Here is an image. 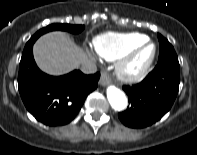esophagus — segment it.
Here are the masks:
<instances>
[{
	"mask_svg": "<svg viewBox=\"0 0 197 155\" xmlns=\"http://www.w3.org/2000/svg\"><path fill=\"white\" fill-rule=\"evenodd\" d=\"M111 83V77L108 73L102 72L100 77V84L102 86H107Z\"/></svg>",
	"mask_w": 197,
	"mask_h": 155,
	"instance_id": "34e87169",
	"label": "esophagus"
}]
</instances>
